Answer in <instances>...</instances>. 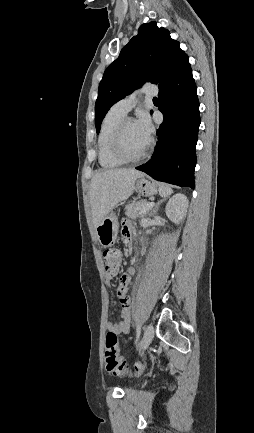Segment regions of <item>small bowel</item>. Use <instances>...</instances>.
I'll list each match as a JSON object with an SVG mask.
<instances>
[{"label": "small bowel", "mask_w": 254, "mask_h": 433, "mask_svg": "<svg viewBox=\"0 0 254 433\" xmlns=\"http://www.w3.org/2000/svg\"><path fill=\"white\" fill-rule=\"evenodd\" d=\"M122 234L126 241L132 238L133 230L129 223L127 222L124 223L122 228ZM133 274H134L133 270H129L128 272L122 274L117 287V296L121 304L120 311H119L120 320L117 322L106 323V329L116 334H127L129 333L130 330L131 299L129 296L128 286L130 284ZM114 275L107 274L108 282H110V280Z\"/></svg>", "instance_id": "small-bowel-1"}]
</instances>
